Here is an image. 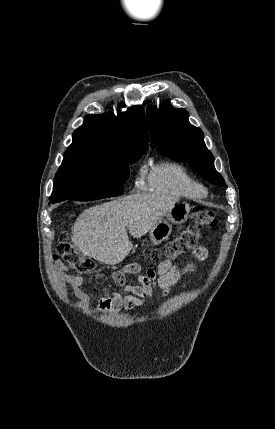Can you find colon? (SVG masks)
Wrapping results in <instances>:
<instances>
[{"mask_svg":"<svg viewBox=\"0 0 275 429\" xmlns=\"http://www.w3.org/2000/svg\"><path fill=\"white\" fill-rule=\"evenodd\" d=\"M217 224L215 213L205 207L196 206L192 210L191 224L178 236L167 242L162 248L150 252L154 262L166 259H176L178 256L196 248L202 237V231L213 228ZM58 255L74 270L89 272L94 268L92 260L83 255L70 242L68 235H63L58 249Z\"/></svg>","mask_w":275,"mask_h":429,"instance_id":"obj_1","label":"colon"}]
</instances>
